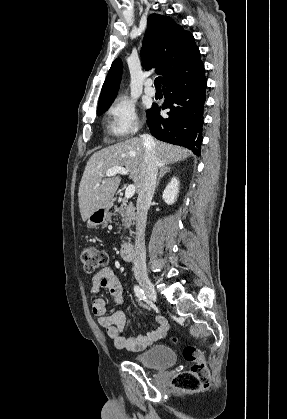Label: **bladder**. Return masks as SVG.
<instances>
[{"label": "bladder", "mask_w": 287, "mask_h": 419, "mask_svg": "<svg viewBox=\"0 0 287 419\" xmlns=\"http://www.w3.org/2000/svg\"><path fill=\"white\" fill-rule=\"evenodd\" d=\"M134 360L144 367L163 370L175 363L176 355L171 347L159 345L136 355Z\"/></svg>", "instance_id": "31cf9c89"}]
</instances>
